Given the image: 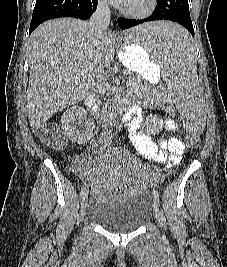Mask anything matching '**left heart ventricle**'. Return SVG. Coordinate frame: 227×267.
Wrapping results in <instances>:
<instances>
[{"mask_svg": "<svg viewBox=\"0 0 227 267\" xmlns=\"http://www.w3.org/2000/svg\"><path fill=\"white\" fill-rule=\"evenodd\" d=\"M146 2L147 0H131L126 7L141 9L145 6Z\"/></svg>", "mask_w": 227, "mask_h": 267, "instance_id": "b2bd125f", "label": "left heart ventricle"}]
</instances>
